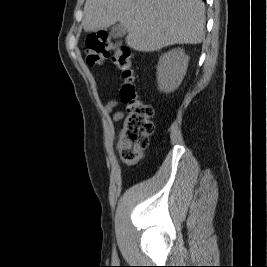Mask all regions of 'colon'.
Instances as JSON below:
<instances>
[{"mask_svg": "<svg viewBox=\"0 0 267 267\" xmlns=\"http://www.w3.org/2000/svg\"><path fill=\"white\" fill-rule=\"evenodd\" d=\"M86 54V61L90 66L101 65L112 56L114 67L123 79L120 97L126 105V112L119 133L118 152L125 164L135 165L141 159L153 132L154 110L140 99L135 89L131 50L101 31L86 39Z\"/></svg>", "mask_w": 267, "mask_h": 267, "instance_id": "1", "label": "colon"}]
</instances>
